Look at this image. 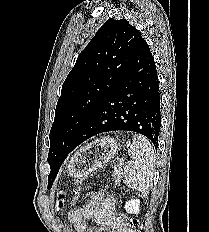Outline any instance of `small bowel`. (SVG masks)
<instances>
[{
    "label": "small bowel",
    "mask_w": 209,
    "mask_h": 232,
    "mask_svg": "<svg viewBox=\"0 0 209 232\" xmlns=\"http://www.w3.org/2000/svg\"><path fill=\"white\" fill-rule=\"evenodd\" d=\"M114 200L105 198L103 192H91L84 204L72 210L68 218L77 232H129L120 218L114 217ZM92 220L97 226L87 229V221Z\"/></svg>",
    "instance_id": "obj_1"
}]
</instances>
